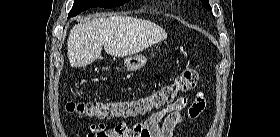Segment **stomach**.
Returning a JSON list of instances; mask_svg holds the SVG:
<instances>
[{"instance_id": "stomach-1", "label": "stomach", "mask_w": 280, "mask_h": 137, "mask_svg": "<svg viewBox=\"0 0 280 137\" xmlns=\"http://www.w3.org/2000/svg\"><path fill=\"white\" fill-rule=\"evenodd\" d=\"M146 57L143 55L129 56L124 60V65L128 71H137L146 64Z\"/></svg>"}]
</instances>
